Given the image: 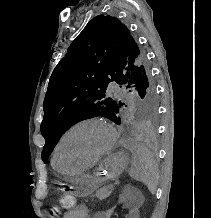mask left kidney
Listing matches in <instances>:
<instances>
[{
    "instance_id": "1",
    "label": "left kidney",
    "mask_w": 211,
    "mask_h": 218,
    "mask_svg": "<svg viewBox=\"0 0 211 218\" xmlns=\"http://www.w3.org/2000/svg\"><path fill=\"white\" fill-rule=\"evenodd\" d=\"M121 207H125V218H139L137 207H132V198H121ZM110 218H115L116 210H109Z\"/></svg>"
}]
</instances>
